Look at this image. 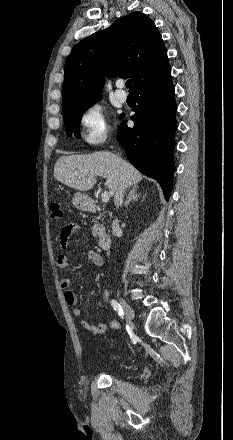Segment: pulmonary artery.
<instances>
[{"label":"pulmonary artery","instance_id":"e3ab8cb5","mask_svg":"<svg viewBox=\"0 0 233 440\" xmlns=\"http://www.w3.org/2000/svg\"><path fill=\"white\" fill-rule=\"evenodd\" d=\"M117 87L120 88L121 87V83H118ZM115 97L121 103H124L127 100V94L123 90H121V89H117L115 91Z\"/></svg>","mask_w":233,"mask_h":440}]
</instances>
